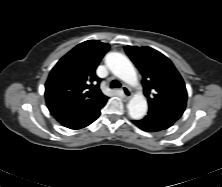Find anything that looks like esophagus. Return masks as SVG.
I'll return each mask as SVG.
<instances>
[{
    "label": "esophagus",
    "instance_id": "34e87169",
    "mask_svg": "<svg viewBox=\"0 0 222 187\" xmlns=\"http://www.w3.org/2000/svg\"><path fill=\"white\" fill-rule=\"evenodd\" d=\"M123 97L129 99L132 95L131 90L127 86L122 87Z\"/></svg>",
    "mask_w": 222,
    "mask_h": 187
}]
</instances>
